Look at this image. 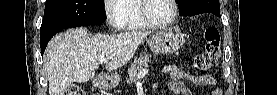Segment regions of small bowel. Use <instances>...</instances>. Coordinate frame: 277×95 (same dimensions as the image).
Masks as SVG:
<instances>
[{
    "mask_svg": "<svg viewBox=\"0 0 277 95\" xmlns=\"http://www.w3.org/2000/svg\"><path fill=\"white\" fill-rule=\"evenodd\" d=\"M164 72L170 75V82L168 90L172 94L191 95L190 89L186 86L184 81H190L196 85L212 86L216 84V79L210 75L194 74L186 69L176 65L169 64L164 67ZM210 94H222L220 90H213Z\"/></svg>",
    "mask_w": 277,
    "mask_h": 95,
    "instance_id": "c3829d8e",
    "label": "small bowel"
}]
</instances>
